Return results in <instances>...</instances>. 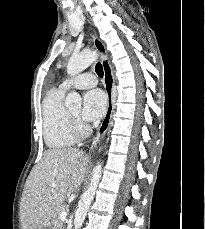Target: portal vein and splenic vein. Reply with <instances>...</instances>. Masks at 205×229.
<instances>
[{
  "label": "portal vein and splenic vein",
  "instance_id": "18ae733b",
  "mask_svg": "<svg viewBox=\"0 0 205 229\" xmlns=\"http://www.w3.org/2000/svg\"><path fill=\"white\" fill-rule=\"evenodd\" d=\"M67 215H68V213L67 212H61L60 213V219L62 220V221H65L66 220V218H67Z\"/></svg>",
  "mask_w": 205,
  "mask_h": 229
}]
</instances>
